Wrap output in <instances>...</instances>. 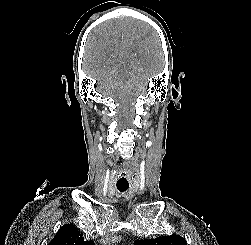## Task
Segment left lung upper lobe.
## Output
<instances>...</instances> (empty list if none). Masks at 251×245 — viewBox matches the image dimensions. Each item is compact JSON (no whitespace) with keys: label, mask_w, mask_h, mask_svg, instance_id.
<instances>
[{"label":"left lung upper lobe","mask_w":251,"mask_h":245,"mask_svg":"<svg viewBox=\"0 0 251 245\" xmlns=\"http://www.w3.org/2000/svg\"><path fill=\"white\" fill-rule=\"evenodd\" d=\"M134 245H187L180 235L160 236L155 239L135 240Z\"/></svg>","instance_id":"5c2ea615"}]
</instances>
